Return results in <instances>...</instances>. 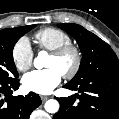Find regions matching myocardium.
<instances>
[{
    "instance_id": "obj_1",
    "label": "myocardium",
    "mask_w": 119,
    "mask_h": 119,
    "mask_svg": "<svg viewBox=\"0 0 119 119\" xmlns=\"http://www.w3.org/2000/svg\"><path fill=\"white\" fill-rule=\"evenodd\" d=\"M50 54L57 58H63L67 55L73 56V65L70 69L62 74L63 77L70 79L78 73L82 63V54L80 49L76 45L72 43L63 45L59 48L52 50Z\"/></svg>"
}]
</instances>
